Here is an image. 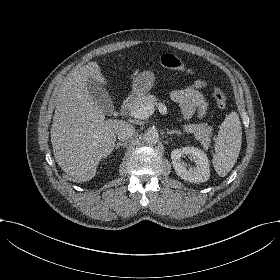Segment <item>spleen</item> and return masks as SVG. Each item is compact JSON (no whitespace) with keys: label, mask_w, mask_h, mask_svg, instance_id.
<instances>
[{"label":"spleen","mask_w":280,"mask_h":280,"mask_svg":"<svg viewBox=\"0 0 280 280\" xmlns=\"http://www.w3.org/2000/svg\"><path fill=\"white\" fill-rule=\"evenodd\" d=\"M241 144V123L238 114L232 112L222 123L215 140L212 163L219 176L224 177L230 172L239 156Z\"/></svg>","instance_id":"obj_1"}]
</instances>
